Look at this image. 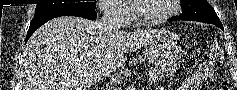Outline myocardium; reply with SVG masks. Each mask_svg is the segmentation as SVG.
Instances as JSON below:
<instances>
[{"instance_id": "myocardium-1", "label": "myocardium", "mask_w": 237, "mask_h": 90, "mask_svg": "<svg viewBox=\"0 0 237 90\" xmlns=\"http://www.w3.org/2000/svg\"><path fill=\"white\" fill-rule=\"evenodd\" d=\"M162 1L168 3L167 10L157 17H150V18L140 16L138 9L136 8V1H129L130 11L133 19L132 28H148L149 26L162 23L163 21L172 18L176 14L178 9L176 3H183V0H162Z\"/></svg>"}]
</instances>
